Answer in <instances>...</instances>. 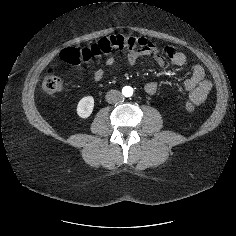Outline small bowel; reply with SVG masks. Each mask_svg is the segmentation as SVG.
Returning <instances> with one entry per match:
<instances>
[{
  "mask_svg": "<svg viewBox=\"0 0 236 236\" xmlns=\"http://www.w3.org/2000/svg\"><path fill=\"white\" fill-rule=\"evenodd\" d=\"M163 53L169 58L171 65L175 68L182 67L187 62L186 56L173 46H165ZM142 57L153 58L159 67H164L165 65L164 60L159 56L158 48L150 42H148L147 46L142 50L130 51L126 55V64L132 67ZM115 64L116 58L113 56L105 60L106 67H112ZM105 76L106 72L103 69L94 70L92 73V78L96 82L101 81ZM157 88L158 85L154 81L147 82L144 86L145 92L150 95L154 94ZM211 90L212 82L206 78L205 70L199 64L193 66L191 77L178 87L179 92L189 94L190 103L193 105L202 104L207 99Z\"/></svg>",
  "mask_w": 236,
  "mask_h": 236,
  "instance_id": "1",
  "label": "small bowel"
}]
</instances>
